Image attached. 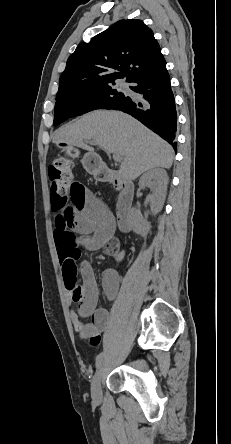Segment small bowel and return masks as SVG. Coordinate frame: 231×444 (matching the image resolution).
<instances>
[{"mask_svg": "<svg viewBox=\"0 0 231 444\" xmlns=\"http://www.w3.org/2000/svg\"><path fill=\"white\" fill-rule=\"evenodd\" d=\"M51 208L55 213L53 235L58 251L62 276L70 302L78 304L70 310V318L82 341L98 345L102 333L111 323L110 313L99 308L98 286L94 271L88 262L80 267L83 281L82 294L76 295L78 269L76 260L80 247L87 250L103 249L109 256H116L120 243L114 237V219L104 203L85 186L75 181L71 194L64 200L52 197ZM102 286L108 299L116 298L120 279L116 270L106 269ZM91 317V322L84 319Z\"/></svg>", "mask_w": 231, "mask_h": 444, "instance_id": "obj_1", "label": "small bowel"}]
</instances>
